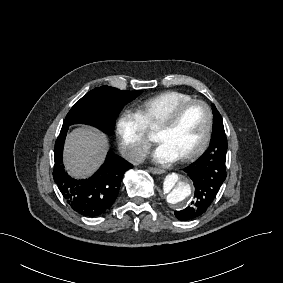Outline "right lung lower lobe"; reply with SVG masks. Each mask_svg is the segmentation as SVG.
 Here are the masks:
<instances>
[{"mask_svg": "<svg viewBox=\"0 0 283 283\" xmlns=\"http://www.w3.org/2000/svg\"><path fill=\"white\" fill-rule=\"evenodd\" d=\"M68 128L69 126H62L55 143L53 178L64 199L74 211L87 217L99 216L114 203L124 173L132 168V164L109 151L104 164L93 176L80 180L71 178L62 163Z\"/></svg>", "mask_w": 283, "mask_h": 283, "instance_id": "obj_1", "label": "right lung lower lobe"}]
</instances>
